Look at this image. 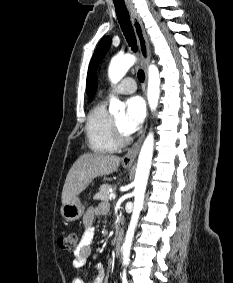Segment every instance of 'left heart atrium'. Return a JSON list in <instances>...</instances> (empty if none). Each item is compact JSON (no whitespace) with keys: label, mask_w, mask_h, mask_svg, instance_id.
Here are the masks:
<instances>
[{"label":"left heart atrium","mask_w":233,"mask_h":283,"mask_svg":"<svg viewBox=\"0 0 233 283\" xmlns=\"http://www.w3.org/2000/svg\"><path fill=\"white\" fill-rule=\"evenodd\" d=\"M146 107L140 96H132L126 101V114L123 127L127 134L135 132L143 123Z\"/></svg>","instance_id":"1"}]
</instances>
